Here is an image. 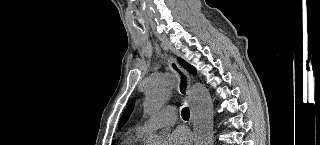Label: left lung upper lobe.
<instances>
[{
  "label": "left lung upper lobe",
  "instance_id": "1",
  "mask_svg": "<svg viewBox=\"0 0 320 145\" xmlns=\"http://www.w3.org/2000/svg\"><path fill=\"white\" fill-rule=\"evenodd\" d=\"M179 63L181 64V66H183L184 68H186L190 73H192L193 75L196 74V70L193 66L189 65L188 63H186L183 59L179 58L178 59ZM134 108V104H130L125 112L123 113L120 122H119V127H121L122 125H124V123L128 120L132 110Z\"/></svg>",
  "mask_w": 320,
  "mask_h": 145
}]
</instances>
